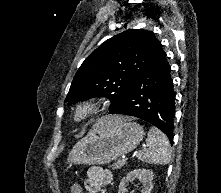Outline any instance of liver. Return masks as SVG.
<instances>
[{"label":"liver","mask_w":221,"mask_h":193,"mask_svg":"<svg viewBox=\"0 0 221 193\" xmlns=\"http://www.w3.org/2000/svg\"><path fill=\"white\" fill-rule=\"evenodd\" d=\"M123 120H125V118L123 117H119V116H109V117H105L101 120V122L105 125H113V124H117L119 122H122Z\"/></svg>","instance_id":"liver-1"}]
</instances>
